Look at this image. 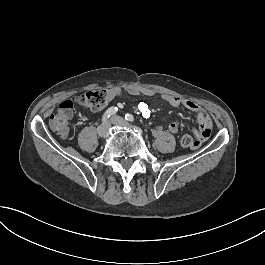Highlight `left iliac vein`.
<instances>
[{"mask_svg":"<svg viewBox=\"0 0 265 265\" xmlns=\"http://www.w3.org/2000/svg\"><path fill=\"white\" fill-rule=\"evenodd\" d=\"M111 122L115 125L122 126V127H130V124L123 119L122 117L119 116H113L111 118Z\"/></svg>","mask_w":265,"mask_h":265,"instance_id":"1","label":"left iliac vein"}]
</instances>
